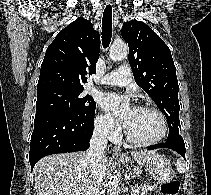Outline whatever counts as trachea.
I'll return each instance as SVG.
<instances>
[{
	"label": "trachea",
	"mask_w": 211,
	"mask_h": 195,
	"mask_svg": "<svg viewBox=\"0 0 211 195\" xmlns=\"http://www.w3.org/2000/svg\"><path fill=\"white\" fill-rule=\"evenodd\" d=\"M112 37V7L107 5L104 9L102 18V44L104 49H106Z\"/></svg>",
	"instance_id": "obj_1"
}]
</instances>
